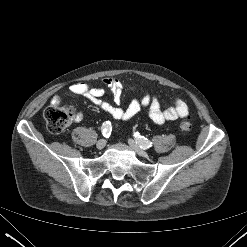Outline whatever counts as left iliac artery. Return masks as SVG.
<instances>
[{"mask_svg":"<svg viewBox=\"0 0 247 247\" xmlns=\"http://www.w3.org/2000/svg\"><path fill=\"white\" fill-rule=\"evenodd\" d=\"M134 137L136 139V143L140 146L142 149H147L152 147V142H150L148 139H146L143 136H140L139 133H135Z\"/></svg>","mask_w":247,"mask_h":247,"instance_id":"44dca946","label":"left iliac artery"}]
</instances>
